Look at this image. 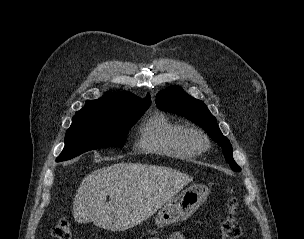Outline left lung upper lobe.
I'll list each match as a JSON object with an SVG mask.
<instances>
[{
	"label": "left lung upper lobe",
	"instance_id": "left-lung-upper-lobe-1",
	"mask_svg": "<svg viewBox=\"0 0 304 239\" xmlns=\"http://www.w3.org/2000/svg\"><path fill=\"white\" fill-rule=\"evenodd\" d=\"M156 103L161 110L185 116L202 127L223 148L231 169L236 172L241 170L233 159L230 141L221 133L216 118L202 101L189 96L179 86H170L157 94Z\"/></svg>",
	"mask_w": 304,
	"mask_h": 239
}]
</instances>
